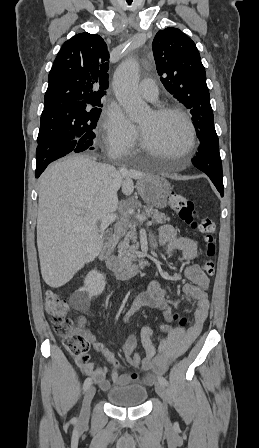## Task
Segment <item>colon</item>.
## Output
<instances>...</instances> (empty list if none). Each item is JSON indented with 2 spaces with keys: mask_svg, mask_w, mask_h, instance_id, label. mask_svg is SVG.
<instances>
[{
  "mask_svg": "<svg viewBox=\"0 0 259 448\" xmlns=\"http://www.w3.org/2000/svg\"><path fill=\"white\" fill-rule=\"evenodd\" d=\"M169 204L182 221L204 235L207 259L203 264V270L207 275L212 276L215 272V263L212 259L215 254L213 239L215 224L213 220L199 214L193 202L181 193L171 192ZM45 309L55 332L63 338L66 350L77 357L86 356L90 348L89 340L69 316V305L66 300L58 293L48 291L45 295ZM172 320L176 323L173 324L175 327H183L186 322L185 317L180 313L172 314ZM143 358L140 354L135 353L132 361L139 364Z\"/></svg>",
  "mask_w": 259,
  "mask_h": 448,
  "instance_id": "5ec220e1",
  "label": "colon"
}]
</instances>
